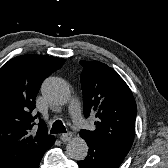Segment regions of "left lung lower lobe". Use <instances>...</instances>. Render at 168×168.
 I'll return each mask as SVG.
<instances>
[{
	"label": "left lung lower lobe",
	"instance_id": "1",
	"mask_svg": "<svg viewBox=\"0 0 168 168\" xmlns=\"http://www.w3.org/2000/svg\"><path fill=\"white\" fill-rule=\"evenodd\" d=\"M89 147L87 157L77 162L80 168H118L127 154L90 137H82Z\"/></svg>",
	"mask_w": 168,
	"mask_h": 168
}]
</instances>
